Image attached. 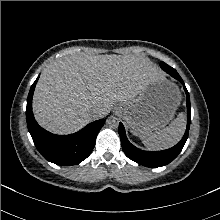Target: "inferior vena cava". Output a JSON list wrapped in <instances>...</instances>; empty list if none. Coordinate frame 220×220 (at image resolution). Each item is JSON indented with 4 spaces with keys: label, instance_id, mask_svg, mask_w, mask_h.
Instances as JSON below:
<instances>
[{
    "label": "inferior vena cava",
    "instance_id": "1",
    "mask_svg": "<svg viewBox=\"0 0 220 220\" xmlns=\"http://www.w3.org/2000/svg\"><path fill=\"white\" fill-rule=\"evenodd\" d=\"M98 111H99V109L93 108V109L90 110V114L95 116L98 113Z\"/></svg>",
    "mask_w": 220,
    "mask_h": 220
}]
</instances>
